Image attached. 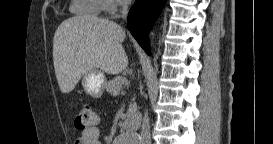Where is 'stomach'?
Instances as JSON below:
<instances>
[{"label":"stomach","mask_w":273,"mask_h":144,"mask_svg":"<svg viewBox=\"0 0 273 144\" xmlns=\"http://www.w3.org/2000/svg\"><path fill=\"white\" fill-rule=\"evenodd\" d=\"M84 91L94 98H100L106 86V78L101 70L95 69L86 72L82 76Z\"/></svg>","instance_id":"stomach-1"}]
</instances>
